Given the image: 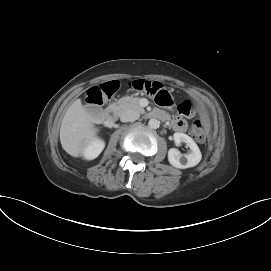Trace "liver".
<instances>
[{
    "instance_id": "6515ba94",
    "label": "liver",
    "mask_w": 271,
    "mask_h": 271,
    "mask_svg": "<svg viewBox=\"0 0 271 271\" xmlns=\"http://www.w3.org/2000/svg\"><path fill=\"white\" fill-rule=\"evenodd\" d=\"M94 119L80 99L75 100L65 113L60 127L62 148L71 156L79 157L89 140L95 137Z\"/></svg>"
}]
</instances>
